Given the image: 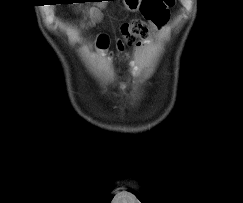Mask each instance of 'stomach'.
Returning a JSON list of instances; mask_svg holds the SVG:
<instances>
[{
    "instance_id": "1",
    "label": "stomach",
    "mask_w": 243,
    "mask_h": 203,
    "mask_svg": "<svg viewBox=\"0 0 243 203\" xmlns=\"http://www.w3.org/2000/svg\"><path fill=\"white\" fill-rule=\"evenodd\" d=\"M142 0H123L124 6L128 11L135 12L139 9Z\"/></svg>"
}]
</instances>
